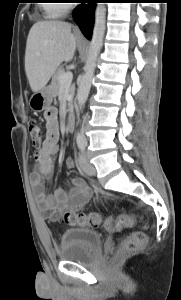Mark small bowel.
<instances>
[{
    "mask_svg": "<svg viewBox=\"0 0 181 300\" xmlns=\"http://www.w3.org/2000/svg\"><path fill=\"white\" fill-rule=\"evenodd\" d=\"M46 138L42 147L35 154L36 172L32 177V185L36 192V199L47 217L55 221L66 211H77L91 199L92 192L80 178H73L72 189L66 192L56 188L52 194L45 191L44 180L49 178L54 169V156L59 151V120L55 107H49L45 113ZM66 166L72 168L74 162L67 159Z\"/></svg>",
    "mask_w": 181,
    "mask_h": 300,
    "instance_id": "obj_1",
    "label": "small bowel"
}]
</instances>
